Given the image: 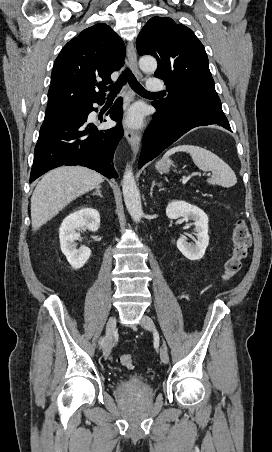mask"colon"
Listing matches in <instances>:
<instances>
[{
  "label": "colon",
  "mask_w": 272,
  "mask_h": 452,
  "mask_svg": "<svg viewBox=\"0 0 272 452\" xmlns=\"http://www.w3.org/2000/svg\"><path fill=\"white\" fill-rule=\"evenodd\" d=\"M233 249L231 256L225 263L223 281L228 282L236 276L242 267L251 245V237L246 222L243 219L236 221L232 234ZM120 363L127 368L134 366V357L131 354H123L119 358Z\"/></svg>",
  "instance_id": "1"
}]
</instances>
